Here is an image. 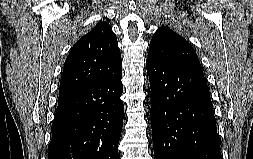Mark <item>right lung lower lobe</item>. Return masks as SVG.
Listing matches in <instances>:
<instances>
[{"label": "right lung lower lobe", "mask_w": 253, "mask_h": 159, "mask_svg": "<svg viewBox=\"0 0 253 159\" xmlns=\"http://www.w3.org/2000/svg\"><path fill=\"white\" fill-rule=\"evenodd\" d=\"M122 69L58 101L48 159H118Z\"/></svg>", "instance_id": "obj_1"}]
</instances>
